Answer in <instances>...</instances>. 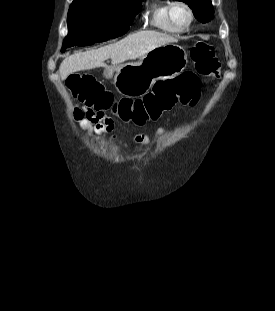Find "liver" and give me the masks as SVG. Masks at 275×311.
I'll use <instances>...</instances> for the list:
<instances>
[{"mask_svg":"<svg viewBox=\"0 0 275 311\" xmlns=\"http://www.w3.org/2000/svg\"><path fill=\"white\" fill-rule=\"evenodd\" d=\"M175 41L173 37L156 31H139L114 44L66 57L59 67L60 76L62 79H66L77 71L97 67L108 68L104 62L109 58L112 65L115 66L127 60L142 57L158 46Z\"/></svg>","mask_w":275,"mask_h":311,"instance_id":"obj_1","label":"liver"}]
</instances>
